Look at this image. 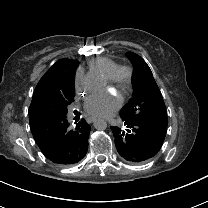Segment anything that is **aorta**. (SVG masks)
Returning a JSON list of instances; mask_svg holds the SVG:
<instances>
[{
  "mask_svg": "<svg viewBox=\"0 0 208 208\" xmlns=\"http://www.w3.org/2000/svg\"><path fill=\"white\" fill-rule=\"evenodd\" d=\"M93 126L97 130H104L107 127V123L104 119L98 118L93 122Z\"/></svg>",
  "mask_w": 208,
  "mask_h": 208,
  "instance_id": "obj_1",
  "label": "aorta"
}]
</instances>
